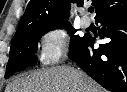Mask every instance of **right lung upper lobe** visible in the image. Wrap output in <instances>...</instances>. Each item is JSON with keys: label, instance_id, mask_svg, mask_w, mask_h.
<instances>
[{"label": "right lung upper lobe", "instance_id": "cb5924a9", "mask_svg": "<svg viewBox=\"0 0 127 92\" xmlns=\"http://www.w3.org/2000/svg\"><path fill=\"white\" fill-rule=\"evenodd\" d=\"M96 17L127 8V0H92ZM70 2L83 6L84 0H31L13 38L35 26H59L69 17Z\"/></svg>", "mask_w": 127, "mask_h": 92}]
</instances>
